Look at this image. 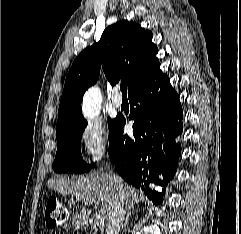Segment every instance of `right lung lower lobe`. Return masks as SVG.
Returning a JSON list of instances; mask_svg holds the SVG:
<instances>
[{
  "label": "right lung lower lobe",
  "mask_w": 241,
  "mask_h": 234,
  "mask_svg": "<svg viewBox=\"0 0 241 234\" xmlns=\"http://www.w3.org/2000/svg\"><path fill=\"white\" fill-rule=\"evenodd\" d=\"M134 120L133 136L124 135V117L115 119L109 135V156L119 175L144 191L154 203H162L165 188L177 170L183 131L182 107L169 78L160 68L129 93ZM136 108H133V106ZM163 176V180L159 176ZM149 183L164 186L161 193Z\"/></svg>",
  "instance_id": "obj_1"
}]
</instances>
